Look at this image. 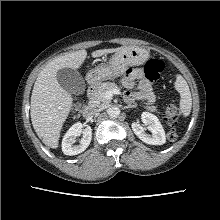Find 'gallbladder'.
<instances>
[{
  "label": "gallbladder",
  "instance_id": "bac80fb5",
  "mask_svg": "<svg viewBox=\"0 0 220 220\" xmlns=\"http://www.w3.org/2000/svg\"><path fill=\"white\" fill-rule=\"evenodd\" d=\"M57 80L61 87L70 94L80 95L85 90V81L75 69L62 68L58 70Z\"/></svg>",
  "mask_w": 220,
  "mask_h": 220
}]
</instances>
